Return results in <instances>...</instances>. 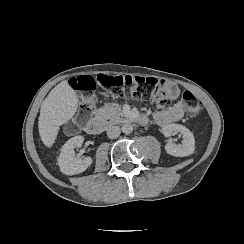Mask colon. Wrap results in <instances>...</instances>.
<instances>
[{"label":"colon","instance_id":"obj_1","mask_svg":"<svg viewBox=\"0 0 244 244\" xmlns=\"http://www.w3.org/2000/svg\"><path fill=\"white\" fill-rule=\"evenodd\" d=\"M69 86L72 90L83 93V102L75 117L70 118L63 125V130L68 135L78 133L83 129L84 124L90 121L95 111L97 86L109 89L110 94L115 98L153 99L157 106L168 104L164 82L154 77L99 74L94 79L90 74H81L72 77ZM181 99L186 105V115L190 118L197 117L203 107L201 100L188 89L184 90Z\"/></svg>","mask_w":244,"mask_h":244}]
</instances>
